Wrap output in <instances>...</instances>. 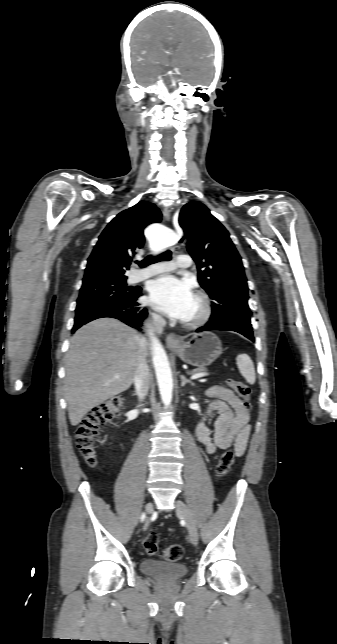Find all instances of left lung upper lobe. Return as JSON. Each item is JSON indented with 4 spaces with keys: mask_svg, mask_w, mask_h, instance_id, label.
Wrapping results in <instances>:
<instances>
[{
    "mask_svg": "<svg viewBox=\"0 0 337 644\" xmlns=\"http://www.w3.org/2000/svg\"><path fill=\"white\" fill-rule=\"evenodd\" d=\"M179 224L188 239V252L197 263L198 281L213 300L210 320L252 331L247 279L228 231L198 201L181 209Z\"/></svg>",
    "mask_w": 337,
    "mask_h": 644,
    "instance_id": "obj_1",
    "label": "left lung upper lobe"
}]
</instances>
